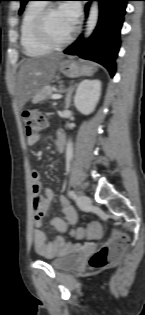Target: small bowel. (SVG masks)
<instances>
[{
	"instance_id": "1",
	"label": "small bowel",
	"mask_w": 145,
	"mask_h": 315,
	"mask_svg": "<svg viewBox=\"0 0 145 315\" xmlns=\"http://www.w3.org/2000/svg\"><path fill=\"white\" fill-rule=\"evenodd\" d=\"M41 134L36 132L35 134L28 136L26 144L28 146H34L40 139ZM66 135L62 130H59L55 139V146L59 151V148L65 149ZM31 187L34 195L33 209H34V229L32 231V243L36 254L39 256L49 258L53 256H61L70 252L71 244L67 243L65 239L58 235L54 237L51 242L46 241L44 232L41 230L42 219L45 217L51 209V200L54 197L53 190L46 188L42 189L41 176L39 171L33 170L31 172ZM59 205L66 220L58 217H53L50 220V225L56 228L60 232H64L67 229V225H75L78 222V214L67 200L66 197H59Z\"/></svg>"
}]
</instances>
